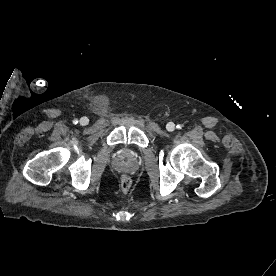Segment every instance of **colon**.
<instances>
[{
    "label": "colon",
    "instance_id": "colon-1",
    "mask_svg": "<svg viewBox=\"0 0 276 276\" xmlns=\"http://www.w3.org/2000/svg\"><path fill=\"white\" fill-rule=\"evenodd\" d=\"M120 189L122 192H127L130 190L132 181L128 176H122L120 178Z\"/></svg>",
    "mask_w": 276,
    "mask_h": 276
}]
</instances>
